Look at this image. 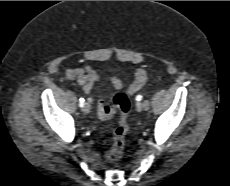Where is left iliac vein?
I'll return each instance as SVG.
<instances>
[{
    "mask_svg": "<svg viewBox=\"0 0 230 186\" xmlns=\"http://www.w3.org/2000/svg\"><path fill=\"white\" fill-rule=\"evenodd\" d=\"M150 107V102L149 100H144L142 103H138V108L141 110H148Z\"/></svg>",
    "mask_w": 230,
    "mask_h": 186,
    "instance_id": "obj_1",
    "label": "left iliac vein"
}]
</instances>
